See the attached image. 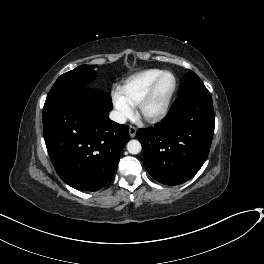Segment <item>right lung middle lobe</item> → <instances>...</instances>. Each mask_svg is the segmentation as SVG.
Instances as JSON below:
<instances>
[{"instance_id": "dd1d6c3e", "label": "right lung middle lobe", "mask_w": 264, "mask_h": 264, "mask_svg": "<svg viewBox=\"0 0 264 264\" xmlns=\"http://www.w3.org/2000/svg\"><path fill=\"white\" fill-rule=\"evenodd\" d=\"M97 65H81L62 74L47 95L44 106L54 104L72 93L86 87L96 76L93 70Z\"/></svg>"}]
</instances>
